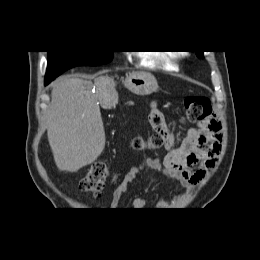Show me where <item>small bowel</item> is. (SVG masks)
<instances>
[{
	"mask_svg": "<svg viewBox=\"0 0 260 260\" xmlns=\"http://www.w3.org/2000/svg\"><path fill=\"white\" fill-rule=\"evenodd\" d=\"M149 120L154 131L165 135V148L168 153L163 159L145 158L140 164L133 166L113 191L111 208L118 207L123 194L144 170L157 171L170 184H180L191 189L203 180L217 162L221 151L222 134L220 124L215 118L201 121L197 127L190 128L179 144L167 128L158 101H153L151 104ZM132 204L135 209H144L146 200L139 196Z\"/></svg>",
	"mask_w": 260,
	"mask_h": 260,
	"instance_id": "obj_1",
	"label": "small bowel"
}]
</instances>
